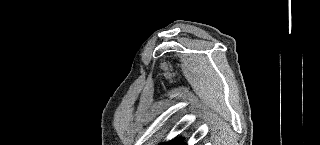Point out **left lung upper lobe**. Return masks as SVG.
I'll return each mask as SVG.
<instances>
[{
  "label": "left lung upper lobe",
  "instance_id": "5c2ea615",
  "mask_svg": "<svg viewBox=\"0 0 320 145\" xmlns=\"http://www.w3.org/2000/svg\"><path fill=\"white\" fill-rule=\"evenodd\" d=\"M182 143V138H177L173 142L162 143L160 145H180Z\"/></svg>",
  "mask_w": 320,
  "mask_h": 145
}]
</instances>
